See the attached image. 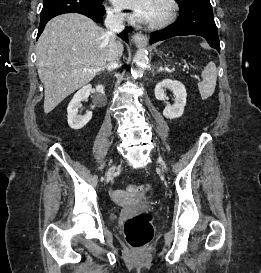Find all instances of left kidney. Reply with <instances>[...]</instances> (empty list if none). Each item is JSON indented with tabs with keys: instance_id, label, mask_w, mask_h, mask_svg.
Returning a JSON list of instances; mask_svg holds the SVG:
<instances>
[{
	"instance_id": "5707ae66",
	"label": "left kidney",
	"mask_w": 261,
	"mask_h": 273,
	"mask_svg": "<svg viewBox=\"0 0 261 273\" xmlns=\"http://www.w3.org/2000/svg\"><path fill=\"white\" fill-rule=\"evenodd\" d=\"M166 89H170L176 98L173 105L167 103L163 110V115L168 119L179 118L182 116L186 105L187 93L185 86L179 81L164 79L155 87V97L157 100L165 101L167 99L165 94Z\"/></svg>"
}]
</instances>
